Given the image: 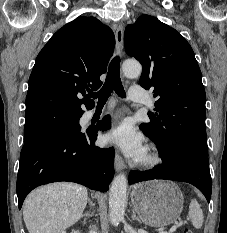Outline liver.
<instances>
[{"label": "liver", "mask_w": 227, "mask_h": 233, "mask_svg": "<svg viewBox=\"0 0 227 233\" xmlns=\"http://www.w3.org/2000/svg\"><path fill=\"white\" fill-rule=\"evenodd\" d=\"M87 188L67 182L52 183L31 192L23 204L29 233H60L82 216Z\"/></svg>", "instance_id": "liver-1"}]
</instances>
